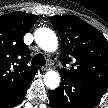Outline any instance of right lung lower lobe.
<instances>
[{"mask_svg": "<svg viewBox=\"0 0 108 108\" xmlns=\"http://www.w3.org/2000/svg\"><path fill=\"white\" fill-rule=\"evenodd\" d=\"M30 82L26 83L15 92L0 95V108H13L18 105L23 100Z\"/></svg>", "mask_w": 108, "mask_h": 108, "instance_id": "obj_1", "label": "right lung lower lobe"}]
</instances>
